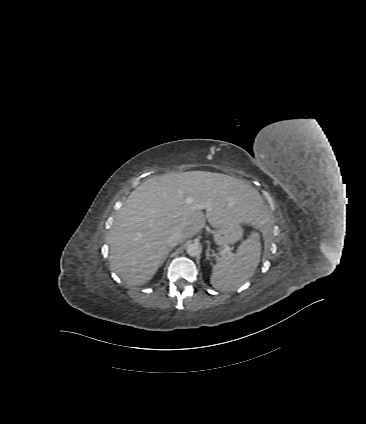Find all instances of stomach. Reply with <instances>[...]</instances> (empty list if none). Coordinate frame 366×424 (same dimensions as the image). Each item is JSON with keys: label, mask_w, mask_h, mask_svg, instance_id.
Returning <instances> with one entry per match:
<instances>
[{"label": "stomach", "mask_w": 366, "mask_h": 424, "mask_svg": "<svg viewBox=\"0 0 366 424\" xmlns=\"http://www.w3.org/2000/svg\"><path fill=\"white\" fill-rule=\"evenodd\" d=\"M243 235V229L239 222L232 225H223L214 231V241L219 246H227L238 241Z\"/></svg>", "instance_id": "0dacf381"}]
</instances>
